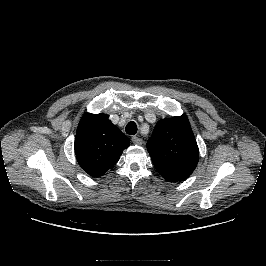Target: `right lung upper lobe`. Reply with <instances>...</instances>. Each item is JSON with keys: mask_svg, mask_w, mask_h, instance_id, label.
<instances>
[{"mask_svg": "<svg viewBox=\"0 0 266 266\" xmlns=\"http://www.w3.org/2000/svg\"><path fill=\"white\" fill-rule=\"evenodd\" d=\"M129 143L108 115L86 113L79 122L74 149L84 171L100 177L117 163Z\"/></svg>", "mask_w": 266, "mask_h": 266, "instance_id": "right-lung-upper-lobe-1", "label": "right lung upper lobe"}]
</instances>
